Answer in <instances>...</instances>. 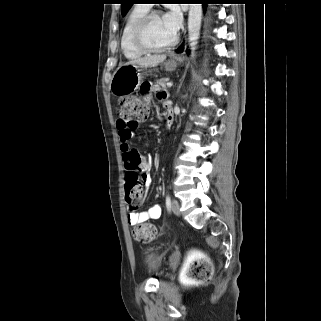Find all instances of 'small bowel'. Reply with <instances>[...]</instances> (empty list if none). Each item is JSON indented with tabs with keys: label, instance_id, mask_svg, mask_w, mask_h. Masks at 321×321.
I'll return each mask as SVG.
<instances>
[{
	"label": "small bowel",
	"instance_id": "1",
	"mask_svg": "<svg viewBox=\"0 0 321 321\" xmlns=\"http://www.w3.org/2000/svg\"><path fill=\"white\" fill-rule=\"evenodd\" d=\"M154 92L156 97L163 102V105L166 109V111H171V103L168 99V94L166 91L155 88L152 85H150V82L148 80H145L144 82L140 83V87L137 88V92L135 93V96L137 98L144 97V103L146 105H149L152 103V100L150 99V93ZM117 130H118V138L120 142V149L122 151L123 160L125 163V166L127 165L129 156L137 152L135 149H132L129 144V140L134 137L135 135V128H132L122 121L118 120L116 123ZM147 162V160L145 159ZM141 177L143 182L146 185L151 184V176L148 173V162L146 168L141 171ZM161 216V206L159 204H153L150 207L146 208L145 210H142L140 212H130L127 216V221L130 225L136 226L143 223H146L149 220H155L160 218Z\"/></svg>",
	"mask_w": 321,
	"mask_h": 321
}]
</instances>
